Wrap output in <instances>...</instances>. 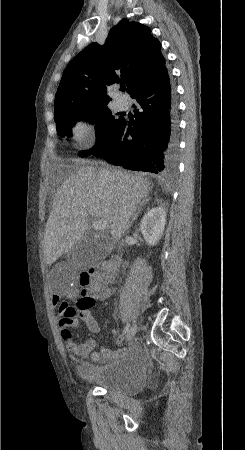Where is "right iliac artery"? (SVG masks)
I'll return each mask as SVG.
<instances>
[{"instance_id":"right-iliac-artery-1","label":"right iliac artery","mask_w":245,"mask_h":450,"mask_svg":"<svg viewBox=\"0 0 245 450\" xmlns=\"http://www.w3.org/2000/svg\"><path fill=\"white\" fill-rule=\"evenodd\" d=\"M129 328H130V324L127 323L126 327L123 330V335L126 334L129 331Z\"/></svg>"}]
</instances>
